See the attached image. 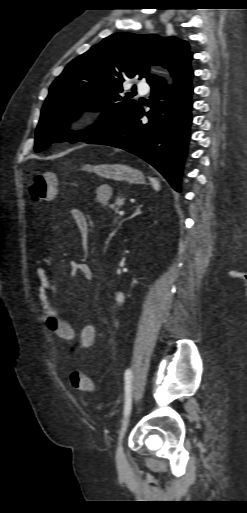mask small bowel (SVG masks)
Here are the masks:
<instances>
[{"mask_svg": "<svg viewBox=\"0 0 247 513\" xmlns=\"http://www.w3.org/2000/svg\"><path fill=\"white\" fill-rule=\"evenodd\" d=\"M69 215L82 239L86 241L89 235V225L86 217L78 209H72ZM70 266L71 272L80 276L84 281L89 282L92 279V271L86 263L74 260ZM33 275L37 283L34 294L45 316L46 326L67 345H72L76 351H88L96 340L95 327L86 321H80L77 327L66 321L63 318V311L51 298L58 293L59 288L51 279L49 273L44 268L36 267L33 269Z\"/></svg>", "mask_w": 247, "mask_h": 513, "instance_id": "small-bowel-1", "label": "small bowel"}]
</instances>
